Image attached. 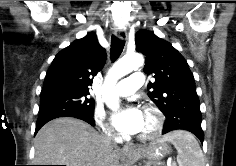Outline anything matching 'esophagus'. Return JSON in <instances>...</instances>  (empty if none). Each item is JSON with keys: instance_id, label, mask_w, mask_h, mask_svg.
Listing matches in <instances>:
<instances>
[{"instance_id": "1", "label": "esophagus", "mask_w": 236, "mask_h": 166, "mask_svg": "<svg viewBox=\"0 0 236 166\" xmlns=\"http://www.w3.org/2000/svg\"><path fill=\"white\" fill-rule=\"evenodd\" d=\"M115 35L122 41L127 43V33L124 29H117L115 30ZM122 150L124 152H134L135 147L131 144L124 145Z\"/></svg>"}]
</instances>
